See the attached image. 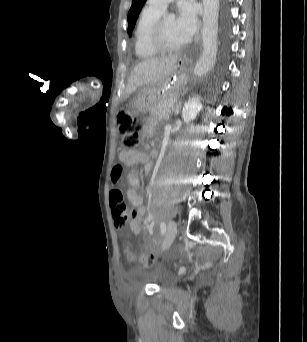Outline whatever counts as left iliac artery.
I'll return each instance as SVG.
<instances>
[{
	"instance_id": "1",
	"label": "left iliac artery",
	"mask_w": 307,
	"mask_h": 342,
	"mask_svg": "<svg viewBox=\"0 0 307 342\" xmlns=\"http://www.w3.org/2000/svg\"><path fill=\"white\" fill-rule=\"evenodd\" d=\"M151 218H152V216H151ZM160 229H161L162 235H164L166 232V224L164 222L160 223Z\"/></svg>"
}]
</instances>
